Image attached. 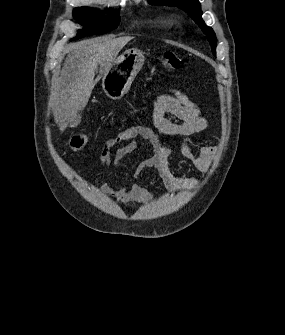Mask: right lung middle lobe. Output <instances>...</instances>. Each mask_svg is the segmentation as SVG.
I'll return each mask as SVG.
<instances>
[{"instance_id":"1","label":"right lung middle lobe","mask_w":285,"mask_h":335,"mask_svg":"<svg viewBox=\"0 0 285 335\" xmlns=\"http://www.w3.org/2000/svg\"><path fill=\"white\" fill-rule=\"evenodd\" d=\"M74 18L85 25L84 29L79 30L77 37L72 40L80 39L89 35L105 34L117 28L120 22L119 15L103 16L92 9L85 7L74 10Z\"/></svg>"}]
</instances>
